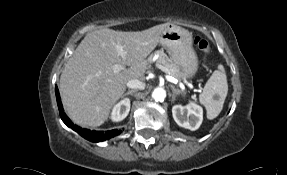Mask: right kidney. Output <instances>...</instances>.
<instances>
[{
    "label": "right kidney",
    "mask_w": 287,
    "mask_h": 175,
    "mask_svg": "<svg viewBox=\"0 0 287 175\" xmlns=\"http://www.w3.org/2000/svg\"><path fill=\"white\" fill-rule=\"evenodd\" d=\"M130 111V100L125 98L117 103L111 113V119L114 122H119L125 119Z\"/></svg>",
    "instance_id": "ca27d5eb"
}]
</instances>
